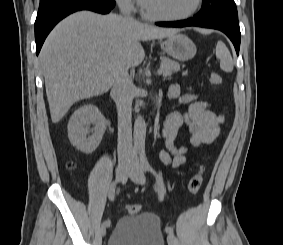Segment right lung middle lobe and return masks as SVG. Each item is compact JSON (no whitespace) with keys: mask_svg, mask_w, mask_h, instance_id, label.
<instances>
[{"mask_svg":"<svg viewBox=\"0 0 283 245\" xmlns=\"http://www.w3.org/2000/svg\"><path fill=\"white\" fill-rule=\"evenodd\" d=\"M44 1H47V0H40V3H41V2H44Z\"/></svg>","mask_w":283,"mask_h":245,"instance_id":"1","label":"right lung middle lobe"}]
</instances>
